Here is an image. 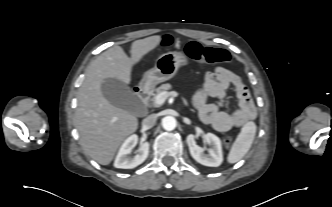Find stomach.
Instances as JSON below:
<instances>
[{
	"mask_svg": "<svg viewBox=\"0 0 332 207\" xmlns=\"http://www.w3.org/2000/svg\"><path fill=\"white\" fill-rule=\"evenodd\" d=\"M187 64L188 59L182 52L165 53L156 60L152 69L145 72L140 87L144 90H151L157 84L174 77L178 69Z\"/></svg>",
	"mask_w": 332,
	"mask_h": 207,
	"instance_id": "1",
	"label": "stomach"
}]
</instances>
